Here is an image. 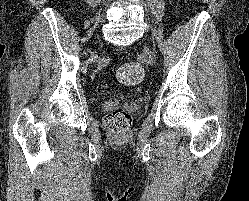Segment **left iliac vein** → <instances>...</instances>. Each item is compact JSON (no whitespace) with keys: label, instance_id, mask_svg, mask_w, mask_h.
Instances as JSON below:
<instances>
[{"label":"left iliac vein","instance_id":"left-iliac-vein-1","mask_svg":"<svg viewBox=\"0 0 249 201\" xmlns=\"http://www.w3.org/2000/svg\"><path fill=\"white\" fill-rule=\"evenodd\" d=\"M144 56L148 63L152 64L154 62V55L148 47H144Z\"/></svg>","mask_w":249,"mask_h":201}]
</instances>
